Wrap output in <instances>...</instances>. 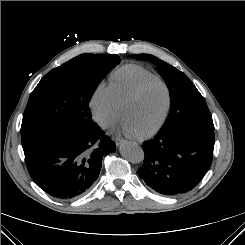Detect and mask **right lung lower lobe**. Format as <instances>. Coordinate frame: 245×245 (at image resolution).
Listing matches in <instances>:
<instances>
[{
  "instance_id": "1",
  "label": "right lung lower lobe",
  "mask_w": 245,
  "mask_h": 245,
  "mask_svg": "<svg viewBox=\"0 0 245 245\" xmlns=\"http://www.w3.org/2000/svg\"><path fill=\"white\" fill-rule=\"evenodd\" d=\"M115 142L96 124L82 132L62 133L26 151L30 176L45 192L59 199L85 194L98 178L102 157Z\"/></svg>"
}]
</instances>
